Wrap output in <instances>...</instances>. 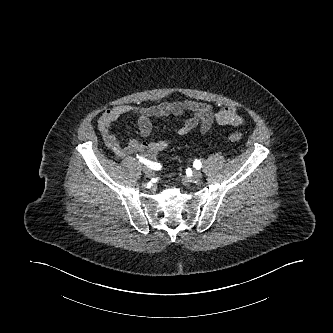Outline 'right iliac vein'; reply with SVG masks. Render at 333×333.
I'll list each match as a JSON object with an SVG mask.
<instances>
[{
  "label": "right iliac vein",
  "instance_id": "1",
  "mask_svg": "<svg viewBox=\"0 0 333 333\" xmlns=\"http://www.w3.org/2000/svg\"><path fill=\"white\" fill-rule=\"evenodd\" d=\"M143 172L147 177H151L153 175V171L150 168H144Z\"/></svg>",
  "mask_w": 333,
  "mask_h": 333
}]
</instances>
